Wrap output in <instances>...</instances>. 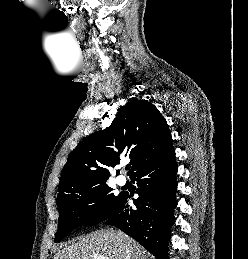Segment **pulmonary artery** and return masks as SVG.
Instances as JSON below:
<instances>
[{
    "label": "pulmonary artery",
    "mask_w": 248,
    "mask_h": 259,
    "mask_svg": "<svg viewBox=\"0 0 248 259\" xmlns=\"http://www.w3.org/2000/svg\"><path fill=\"white\" fill-rule=\"evenodd\" d=\"M126 182H127V179H126L125 176L119 175V176L117 177V183H118L119 185H125Z\"/></svg>",
    "instance_id": "pulmonary-artery-1"
}]
</instances>
